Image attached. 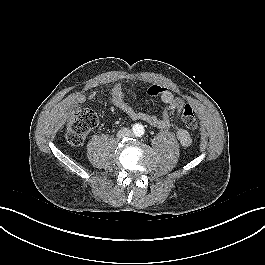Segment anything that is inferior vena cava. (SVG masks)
<instances>
[{
    "mask_svg": "<svg viewBox=\"0 0 265 265\" xmlns=\"http://www.w3.org/2000/svg\"><path fill=\"white\" fill-rule=\"evenodd\" d=\"M132 135L133 133L129 128H122L117 133V137L120 139L125 138V137H131Z\"/></svg>",
    "mask_w": 265,
    "mask_h": 265,
    "instance_id": "602c4592",
    "label": "inferior vena cava"
}]
</instances>
